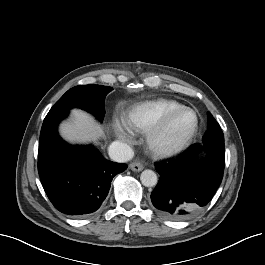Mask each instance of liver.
Here are the masks:
<instances>
[{
  "mask_svg": "<svg viewBox=\"0 0 265 265\" xmlns=\"http://www.w3.org/2000/svg\"><path fill=\"white\" fill-rule=\"evenodd\" d=\"M72 120L63 122L60 126V134L70 142L95 141L104 132L102 127L87 113L74 109Z\"/></svg>",
  "mask_w": 265,
  "mask_h": 265,
  "instance_id": "obj_1",
  "label": "liver"
}]
</instances>
